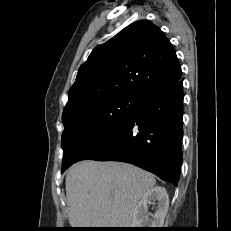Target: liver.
Instances as JSON below:
<instances>
[{"mask_svg":"<svg viewBox=\"0 0 231 231\" xmlns=\"http://www.w3.org/2000/svg\"><path fill=\"white\" fill-rule=\"evenodd\" d=\"M156 180L121 162L82 161L66 176L68 219L73 228H130L134 209Z\"/></svg>","mask_w":231,"mask_h":231,"instance_id":"6515ba94","label":"liver"}]
</instances>
